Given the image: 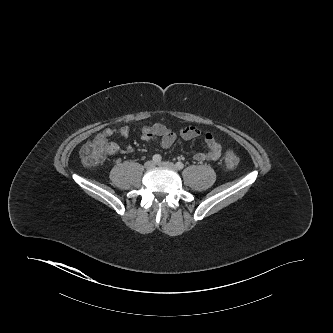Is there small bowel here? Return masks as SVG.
<instances>
[{
  "label": "small bowel",
  "instance_id": "small-bowel-1",
  "mask_svg": "<svg viewBox=\"0 0 333 333\" xmlns=\"http://www.w3.org/2000/svg\"><path fill=\"white\" fill-rule=\"evenodd\" d=\"M129 134L130 129L128 126L106 128L98 133L95 139H102L109 144V154H116L118 152L131 153L133 151L131 146L120 149L116 143L110 142L108 140L112 136L118 135L127 137ZM200 135L201 131L194 126L183 127L178 132H174L166 125L161 123H156L151 126H144L141 130V139L143 141L152 142L157 140L159 145L165 149L171 147L178 138L192 140L199 137ZM204 140L207 145V151L195 153L193 155V159L197 162L217 160L222 152L221 143L211 133L208 132L204 134Z\"/></svg>",
  "mask_w": 333,
  "mask_h": 333
}]
</instances>
